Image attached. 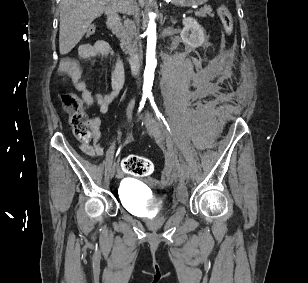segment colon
<instances>
[{"label":"colon","mask_w":308,"mask_h":283,"mask_svg":"<svg viewBox=\"0 0 308 283\" xmlns=\"http://www.w3.org/2000/svg\"><path fill=\"white\" fill-rule=\"evenodd\" d=\"M218 16L227 35L233 31V17L224 5L218 7ZM95 32L94 26H89L86 35L91 36ZM60 101L64 110L69 114L70 125L74 136L81 141H88L93 136V129L88 119L82 100L73 92H64L60 95ZM122 169L133 176H148L154 170L152 161L138 155H128L122 161Z\"/></svg>","instance_id":"5ec220e1"}]
</instances>
